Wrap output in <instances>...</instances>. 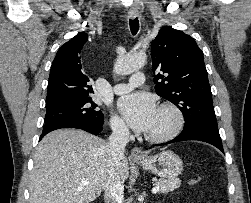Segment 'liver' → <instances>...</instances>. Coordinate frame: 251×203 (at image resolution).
<instances>
[{
    "instance_id": "liver-1",
    "label": "liver",
    "mask_w": 251,
    "mask_h": 203,
    "mask_svg": "<svg viewBox=\"0 0 251 203\" xmlns=\"http://www.w3.org/2000/svg\"><path fill=\"white\" fill-rule=\"evenodd\" d=\"M107 149L103 139L81 130L46 135L34 154L29 203H89L98 198L113 172ZM120 176L123 181L129 176L125 156Z\"/></svg>"
}]
</instances>
